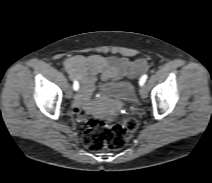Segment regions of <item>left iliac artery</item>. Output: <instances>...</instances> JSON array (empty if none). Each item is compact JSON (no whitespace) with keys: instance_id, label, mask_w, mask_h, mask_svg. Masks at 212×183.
Returning <instances> with one entry per match:
<instances>
[{"instance_id":"44dca946","label":"left iliac artery","mask_w":212,"mask_h":183,"mask_svg":"<svg viewBox=\"0 0 212 183\" xmlns=\"http://www.w3.org/2000/svg\"><path fill=\"white\" fill-rule=\"evenodd\" d=\"M146 79H147V75L145 74L140 78L139 84L142 86L145 83Z\"/></svg>"}]
</instances>
